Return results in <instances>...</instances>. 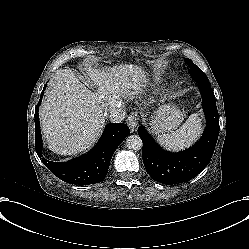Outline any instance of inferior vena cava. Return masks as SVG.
Segmentation results:
<instances>
[{
	"label": "inferior vena cava",
	"instance_id": "602c4592",
	"mask_svg": "<svg viewBox=\"0 0 249 249\" xmlns=\"http://www.w3.org/2000/svg\"><path fill=\"white\" fill-rule=\"evenodd\" d=\"M125 108L121 102H111L107 107L106 115L111 122L119 123L125 118Z\"/></svg>",
	"mask_w": 249,
	"mask_h": 249
}]
</instances>
